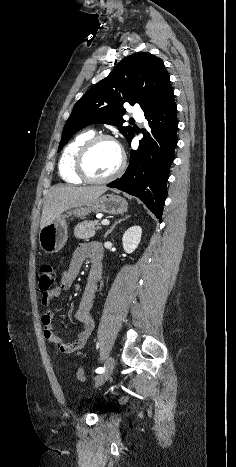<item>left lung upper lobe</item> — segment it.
<instances>
[{
    "instance_id": "5c2ea615",
    "label": "left lung upper lobe",
    "mask_w": 236,
    "mask_h": 467,
    "mask_svg": "<svg viewBox=\"0 0 236 467\" xmlns=\"http://www.w3.org/2000/svg\"><path fill=\"white\" fill-rule=\"evenodd\" d=\"M171 87L162 59L150 53H136L122 59L108 77L101 80L75 104L69 117L58 152L84 127L105 123L118 127L129 141L134 136L130 126L124 127L123 104L138 103L144 113Z\"/></svg>"
}]
</instances>
